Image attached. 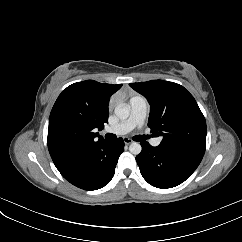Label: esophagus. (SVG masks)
Instances as JSON below:
<instances>
[{"label":"esophagus","mask_w":242,"mask_h":242,"mask_svg":"<svg viewBox=\"0 0 242 242\" xmlns=\"http://www.w3.org/2000/svg\"><path fill=\"white\" fill-rule=\"evenodd\" d=\"M123 140L126 145H129L133 142L130 138H127V137L123 138Z\"/></svg>","instance_id":"esophagus-1"}]
</instances>
